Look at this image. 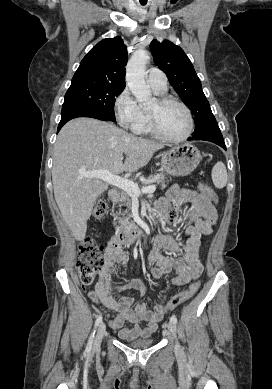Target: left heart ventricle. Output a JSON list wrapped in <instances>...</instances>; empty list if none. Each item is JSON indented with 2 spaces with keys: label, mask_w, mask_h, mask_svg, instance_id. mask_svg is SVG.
<instances>
[{
  "label": "left heart ventricle",
  "mask_w": 272,
  "mask_h": 389,
  "mask_svg": "<svg viewBox=\"0 0 272 389\" xmlns=\"http://www.w3.org/2000/svg\"><path fill=\"white\" fill-rule=\"evenodd\" d=\"M150 111L156 112L161 130L168 136H182L188 129V118L185 111L178 105L169 104L158 107L155 101Z\"/></svg>",
  "instance_id": "obj_1"
}]
</instances>
